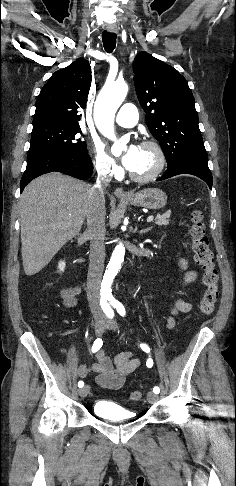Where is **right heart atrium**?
<instances>
[{"label":"right heart atrium","mask_w":236,"mask_h":486,"mask_svg":"<svg viewBox=\"0 0 236 486\" xmlns=\"http://www.w3.org/2000/svg\"><path fill=\"white\" fill-rule=\"evenodd\" d=\"M91 155L98 173L104 176H114L119 172L115 160L107 154L102 145L94 143L91 147Z\"/></svg>","instance_id":"1"}]
</instances>
